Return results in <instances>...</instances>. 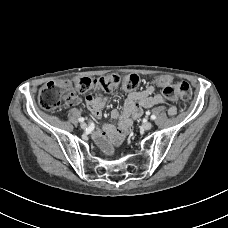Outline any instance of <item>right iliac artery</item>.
<instances>
[{"label": "right iliac artery", "mask_w": 228, "mask_h": 228, "mask_svg": "<svg viewBox=\"0 0 228 228\" xmlns=\"http://www.w3.org/2000/svg\"><path fill=\"white\" fill-rule=\"evenodd\" d=\"M78 121L79 122H83L84 121V118L81 117V118L78 119Z\"/></svg>", "instance_id": "obj_1"}]
</instances>
